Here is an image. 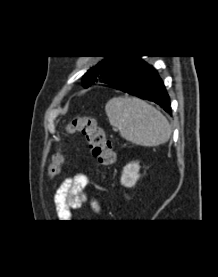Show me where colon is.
I'll use <instances>...</instances> for the list:
<instances>
[{
	"instance_id": "colon-1",
	"label": "colon",
	"mask_w": 218,
	"mask_h": 277,
	"mask_svg": "<svg viewBox=\"0 0 218 277\" xmlns=\"http://www.w3.org/2000/svg\"><path fill=\"white\" fill-rule=\"evenodd\" d=\"M67 132H80L85 138L91 155L99 165L108 166L116 159L111 142L106 138L103 129L90 116L82 115L75 118L68 126ZM61 158L56 156L50 167L51 174H57Z\"/></svg>"
}]
</instances>
